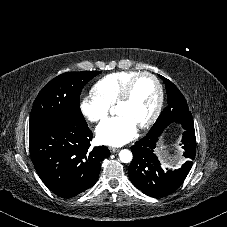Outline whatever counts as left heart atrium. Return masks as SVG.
Instances as JSON below:
<instances>
[{
  "label": "left heart atrium",
  "instance_id": "left-heart-atrium-1",
  "mask_svg": "<svg viewBox=\"0 0 227 227\" xmlns=\"http://www.w3.org/2000/svg\"><path fill=\"white\" fill-rule=\"evenodd\" d=\"M137 126L128 117L118 115L107 118L96 128L97 140L106 145L121 146L136 135Z\"/></svg>",
  "mask_w": 227,
  "mask_h": 227
}]
</instances>
